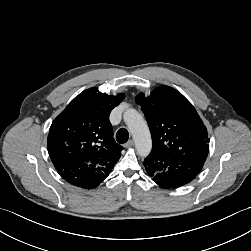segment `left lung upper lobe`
Returning a JSON list of instances; mask_svg holds the SVG:
<instances>
[{
    "label": "left lung upper lobe",
    "instance_id": "left-lung-upper-lobe-1",
    "mask_svg": "<svg viewBox=\"0 0 251 251\" xmlns=\"http://www.w3.org/2000/svg\"><path fill=\"white\" fill-rule=\"evenodd\" d=\"M152 136V151L204 163L209 151L205 125L193 105L177 90L162 86L149 97L138 94Z\"/></svg>",
    "mask_w": 251,
    "mask_h": 251
}]
</instances>
